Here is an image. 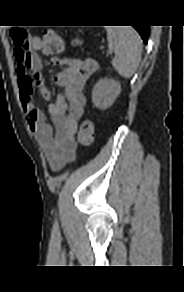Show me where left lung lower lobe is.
Instances as JSON below:
<instances>
[{
  "mask_svg": "<svg viewBox=\"0 0 184 292\" xmlns=\"http://www.w3.org/2000/svg\"><path fill=\"white\" fill-rule=\"evenodd\" d=\"M141 35L144 43H147V39H148V35H149V30H148V26H144V25H136L133 26Z\"/></svg>",
  "mask_w": 184,
  "mask_h": 292,
  "instance_id": "0a47b994",
  "label": "left lung lower lobe"
}]
</instances>
